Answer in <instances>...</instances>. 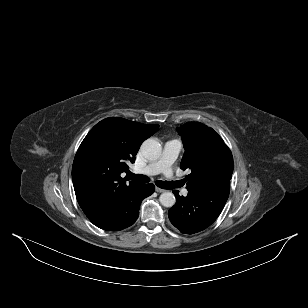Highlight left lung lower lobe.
Instances as JSON below:
<instances>
[{"mask_svg":"<svg viewBox=\"0 0 308 308\" xmlns=\"http://www.w3.org/2000/svg\"><path fill=\"white\" fill-rule=\"evenodd\" d=\"M229 191V181L189 191L186 197L180 196L178 191L174 190L176 204L168 211L171 223L185 234H194L206 229L220 215Z\"/></svg>","mask_w":308,"mask_h":308,"instance_id":"0a47b994","label":"left lung lower lobe"}]
</instances>
